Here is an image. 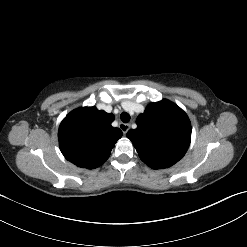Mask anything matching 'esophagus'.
Instances as JSON below:
<instances>
[{"label": "esophagus", "instance_id": "1", "mask_svg": "<svg viewBox=\"0 0 247 247\" xmlns=\"http://www.w3.org/2000/svg\"><path fill=\"white\" fill-rule=\"evenodd\" d=\"M120 128H121L122 132L124 134H126L130 129V125L129 124H125V123H121L120 124Z\"/></svg>", "mask_w": 247, "mask_h": 247}]
</instances>
